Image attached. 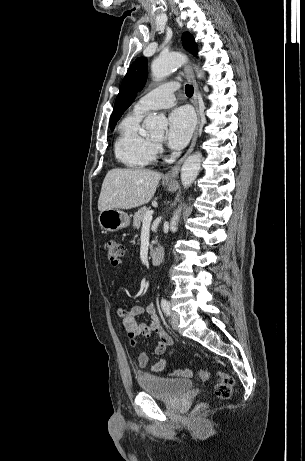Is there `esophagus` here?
<instances>
[{
	"mask_svg": "<svg viewBox=\"0 0 305 461\" xmlns=\"http://www.w3.org/2000/svg\"><path fill=\"white\" fill-rule=\"evenodd\" d=\"M184 72H185L186 78L192 84V86L194 88V94H193L192 102H193V105L195 107L196 114H197V125H196V129H195V132H194L192 142L190 144L189 149L178 160V162L172 167V169L168 173L165 174V176L163 178L164 181H175L177 179L182 163L185 161V159L189 156V154L193 151V149L195 147L197 137H198L199 127H200L201 118H200V111H199V107H198V84H197V82L195 80L194 73H193V70H192L190 65L185 66Z\"/></svg>",
	"mask_w": 305,
	"mask_h": 461,
	"instance_id": "34e87169",
	"label": "esophagus"
}]
</instances>
